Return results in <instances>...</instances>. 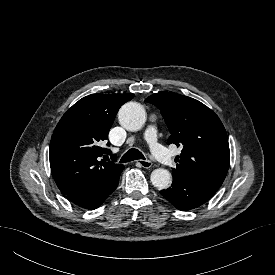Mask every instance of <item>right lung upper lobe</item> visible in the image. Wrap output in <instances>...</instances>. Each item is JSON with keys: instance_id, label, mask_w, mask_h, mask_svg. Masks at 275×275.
I'll return each instance as SVG.
<instances>
[{"instance_id": "1", "label": "right lung upper lobe", "mask_w": 275, "mask_h": 275, "mask_svg": "<svg viewBox=\"0 0 275 275\" xmlns=\"http://www.w3.org/2000/svg\"><path fill=\"white\" fill-rule=\"evenodd\" d=\"M133 97L134 94H92L62 116L49 152L51 172L63 195L105 183L123 168L112 161H100L103 154L111 152L99 144L107 139L119 108Z\"/></svg>"}]
</instances>
